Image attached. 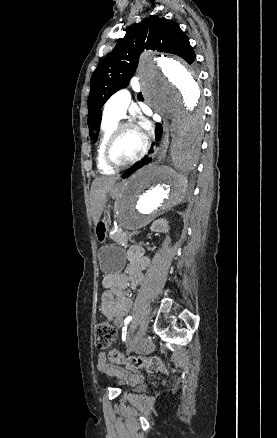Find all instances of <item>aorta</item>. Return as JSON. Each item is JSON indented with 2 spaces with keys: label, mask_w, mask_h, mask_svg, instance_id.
<instances>
[{
  "label": "aorta",
  "mask_w": 277,
  "mask_h": 438,
  "mask_svg": "<svg viewBox=\"0 0 277 438\" xmlns=\"http://www.w3.org/2000/svg\"><path fill=\"white\" fill-rule=\"evenodd\" d=\"M151 107L171 120L174 167L149 165L126 183L116 203V218L126 230L139 229L186 196L185 172L195 162L203 130L201 84L193 66L166 56H143L138 66Z\"/></svg>",
  "instance_id": "aorta-1"
}]
</instances>
